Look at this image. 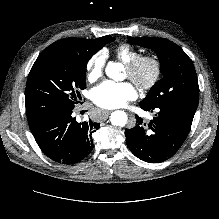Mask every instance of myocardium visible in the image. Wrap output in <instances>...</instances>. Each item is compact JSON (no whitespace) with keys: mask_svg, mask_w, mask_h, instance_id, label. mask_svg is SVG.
<instances>
[{"mask_svg":"<svg viewBox=\"0 0 219 219\" xmlns=\"http://www.w3.org/2000/svg\"><path fill=\"white\" fill-rule=\"evenodd\" d=\"M149 67L151 74L147 79H142L140 73L143 68ZM128 78L141 90L153 89L159 82L163 66L161 60L153 54L140 55L134 61L126 65Z\"/></svg>","mask_w":219,"mask_h":219,"instance_id":"1","label":"myocardium"}]
</instances>
